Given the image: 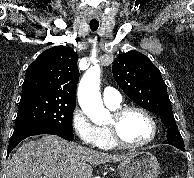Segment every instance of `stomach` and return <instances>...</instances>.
<instances>
[{
	"instance_id": "0dacf381",
	"label": "stomach",
	"mask_w": 194,
	"mask_h": 178,
	"mask_svg": "<svg viewBox=\"0 0 194 178\" xmlns=\"http://www.w3.org/2000/svg\"><path fill=\"white\" fill-rule=\"evenodd\" d=\"M119 174L121 178H157L159 163L149 152H135L120 162Z\"/></svg>"
}]
</instances>
